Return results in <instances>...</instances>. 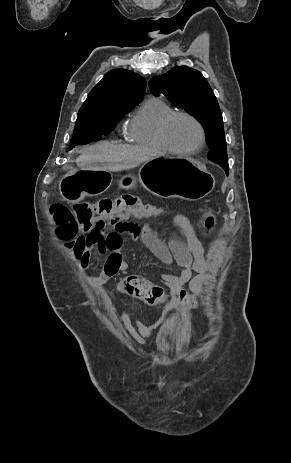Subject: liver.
I'll return each instance as SVG.
<instances>
[{
	"mask_svg": "<svg viewBox=\"0 0 291 463\" xmlns=\"http://www.w3.org/2000/svg\"><path fill=\"white\" fill-rule=\"evenodd\" d=\"M161 155L155 149L103 141L84 148L76 162L81 169L111 172L137 167Z\"/></svg>",
	"mask_w": 291,
	"mask_h": 463,
	"instance_id": "6515ba94",
	"label": "liver"
}]
</instances>
